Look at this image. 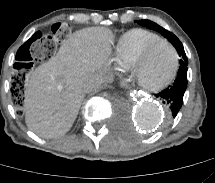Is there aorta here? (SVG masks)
I'll list each match as a JSON object with an SVG mask.
<instances>
[{
  "label": "aorta",
  "instance_id": "obj_1",
  "mask_svg": "<svg viewBox=\"0 0 215 183\" xmlns=\"http://www.w3.org/2000/svg\"><path fill=\"white\" fill-rule=\"evenodd\" d=\"M121 103L133 110L131 111L133 112V119L139 127L153 129L162 122L163 109L155 101L143 99L132 107L125 98L121 97Z\"/></svg>",
  "mask_w": 215,
  "mask_h": 183
}]
</instances>
